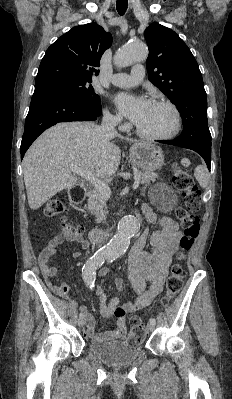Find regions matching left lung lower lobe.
I'll use <instances>...</instances> for the list:
<instances>
[{
	"mask_svg": "<svg viewBox=\"0 0 232 399\" xmlns=\"http://www.w3.org/2000/svg\"><path fill=\"white\" fill-rule=\"evenodd\" d=\"M159 142L164 143V144L175 145V146H179V147H183V148H188V149L196 151L205 160V162L208 166V169L210 170V168H211V150L204 149L202 147H199V146L193 145V144L182 143V142L177 141L176 139L168 140V141H159Z\"/></svg>",
	"mask_w": 232,
	"mask_h": 399,
	"instance_id": "0a47b994",
	"label": "left lung lower lobe"
}]
</instances>
